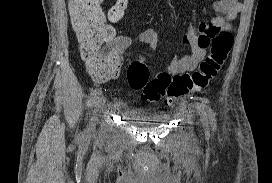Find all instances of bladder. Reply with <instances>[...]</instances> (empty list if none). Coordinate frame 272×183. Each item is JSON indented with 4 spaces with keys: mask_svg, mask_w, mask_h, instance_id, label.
Listing matches in <instances>:
<instances>
[{
    "mask_svg": "<svg viewBox=\"0 0 272 183\" xmlns=\"http://www.w3.org/2000/svg\"><path fill=\"white\" fill-rule=\"evenodd\" d=\"M124 116L134 125L140 128H153L163 125L167 118L164 116H140L125 112Z\"/></svg>",
    "mask_w": 272,
    "mask_h": 183,
    "instance_id": "obj_1",
    "label": "bladder"
}]
</instances>
